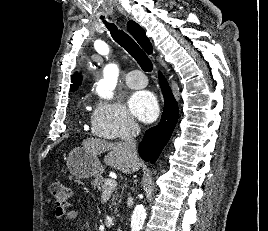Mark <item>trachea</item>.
<instances>
[{
    "label": "trachea",
    "mask_w": 268,
    "mask_h": 231,
    "mask_svg": "<svg viewBox=\"0 0 268 231\" xmlns=\"http://www.w3.org/2000/svg\"><path fill=\"white\" fill-rule=\"evenodd\" d=\"M104 23L110 30L113 39L138 62L142 70L145 72H151L153 69L151 60L139 47V45L133 40V38L123 30H119L115 24L107 23L106 21H104Z\"/></svg>",
    "instance_id": "1"
}]
</instances>
